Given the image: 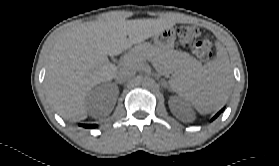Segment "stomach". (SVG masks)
Here are the masks:
<instances>
[{
	"instance_id": "0dacf381",
	"label": "stomach",
	"mask_w": 279,
	"mask_h": 166,
	"mask_svg": "<svg viewBox=\"0 0 279 166\" xmlns=\"http://www.w3.org/2000/svg\"><path fill=\"white\" fill-rule=\"evenodd\" d=\"M175 38V30L171 27L155 35L154 42L158 48L169 50L173 48Z\"/></svg>"
}]
</instances>
